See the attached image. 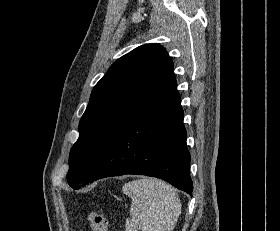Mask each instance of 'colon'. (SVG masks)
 <instances>
[{
	"label": "colon",
	"mask_w": 280,
	"mask_h": 231,
	"mask_svg": "<svg viewBox=\"0 0 280 231\" xmlns=\"http://www.w3.org/2000/svg\"><path fill=\"white\" fill-rule=\"evenodd\" d=\"M91 231H108V222L100 210L91 211L88 215Z\"/></svg>",
	"instance_id": "5ec220e1"
}]
</instances>
